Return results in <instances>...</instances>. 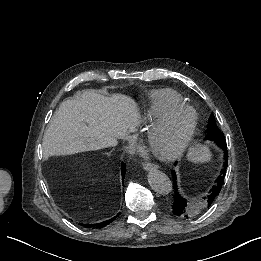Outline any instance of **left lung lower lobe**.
Listing matches in <instances>:
<instances>
[{"instance_id":"0a47b994","label":"left lung lower lobe","mask_w":261,"mask_h":261,"mask_svg":"<svg viewBox=\"0 0 261 261\" xmlns=\"http://www.w3.org/2000/svg\"><path fill=\"white\" fill-rule=\"evenodd\" d=\"M224 151V164L221 169L220 175L216 179L215 185L212 187L210 194L208 197H206V204L208 207L212 204L216 196L219 194L221 187L224 182L225 174H226V169L228 165V152H227V146H224L223 148ZM172 176L174 178V202L172 205V213L177 216V217H187L193 215L196 213L195 211V206L191 203H187L186 199L181 196L177 189V177H176V172L172 171ZM203 208V205H201Z\"/></svg>"}]
</instances>
